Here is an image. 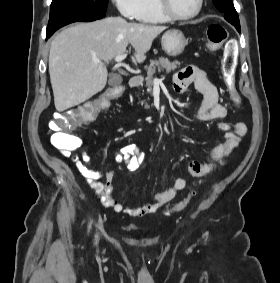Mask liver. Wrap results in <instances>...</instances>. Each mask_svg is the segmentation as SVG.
<instances>
[{
    "mask_svg": "<svg viewBox=\"0 0 280 283\" xmlns=\"http://www.w3.org/2000/svg\"><path fill=\"white\" fill-rule=\"evenodd\" d=\"M165 26L129 23L108 17L63 29L52 41L49 75L57 111L77 106L100 92L107 82L106 63L131 44L134 61L142 63ZM99 60V63H95Z\"/></svg>",
    "mask_w": 280,
    "mask_h": 283,
    "instance_id": "obj_1",
    "label": "liver"
}]
</instances>
